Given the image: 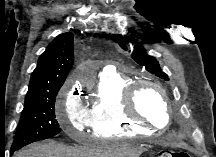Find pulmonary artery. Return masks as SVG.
<instances>
[{
    "instance_id": "1",
    "label": "pulmonary artery",
    "mask_w": 216,
    "mask_h": 157,
    "mask_svg": "<svg viewBox=\"0 0 216 157\" xmlns=\"http://www.w3.org/2000/svg\"><path fill=\"white\" fill-rule=\"evenodd\" d=\"M112 73H114V68L112 66H106L100 72V76L109 75V74H112Z\"/></svg>"
}]
</instances>
